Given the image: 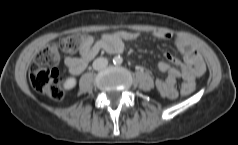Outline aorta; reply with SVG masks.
<instances>
[{
    "label": "aorta",
    "mask_w": 238,
    "mask_h": 145,
    "mask_svg": "<svg viewBox=\"0 0 238 145\" xmlns=\"http://www.w3.org/2000/svg\"><path fill=\"white\" fill-rule=\"evenodd\" d=\"M113 62L115 64H121L123 62V59L120 56H116V57H114Z\"/></svg>",
    "instance_id": "762f6f07"
}]
</instances>
